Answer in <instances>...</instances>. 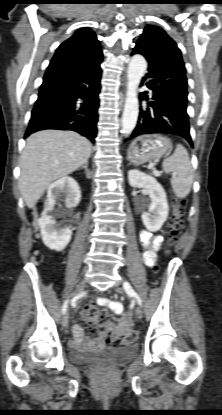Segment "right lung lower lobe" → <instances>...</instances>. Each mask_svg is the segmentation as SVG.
<instances>
[{
  "mask_svg": "<svg viewBox=\"0 0 222 415\" xmlns=\"http://www.w3.org/2000/svg\"><path fill=\"white\" fill-rule=\"evenodd\" d=\"M102 59L86 64L50 62L25 138L43 129L73 130L95 142Z\"/></svg>",
  "mask_w": 222,
  "mask_h": 415,
  "instance_id": "1",
  "label": "right lung lower lobe"
}]
</instances>
